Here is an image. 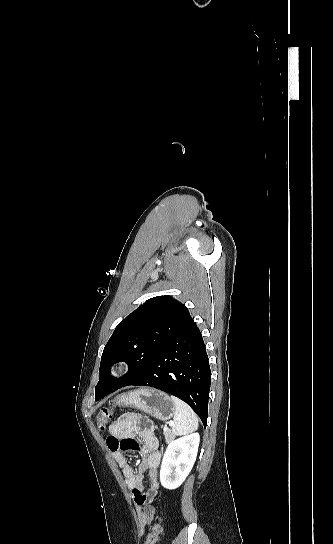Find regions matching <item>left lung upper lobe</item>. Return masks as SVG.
I'll list each match as a JSON object with an SVG mask.
<instances>
[{"label": "left lung upper lobe", "mask_w": 333, "mask_h": 544, "mask_svg": "<svg viewBox=\"0 0 333 544\" xmlns=\"http://www.w3.org/2000/svg\"><path fill=\"white\" fill-rule=\"evenodd\" d=\"M188 316L189 311L181 302L170 296H157L123 319L103 350L95 396L114 392L136 379ZM119 361L128 363V373L119 379L110 378V367Z\"/></svg>", "instance_id": "obj_1"}]
</instances>
